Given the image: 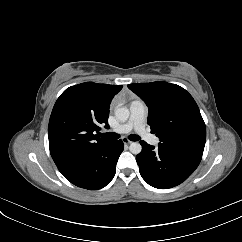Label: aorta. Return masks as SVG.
<instances>
[{
    "instance_id": "762f6f07",
    "label": "aorta",
    "mask_w": 242,
    "mask_h": 242,
    "mask_svg": "<svg viewBox=\"0 0 242 242\" xmlns=\"http://www.w3.org/2000/svg\"><path fill=\"white\" fill-rule=\"evenodd\" d=\"M130 112L129 109L124 106H118L115 109V116L120 121H126L129 118ZM129 150L132 154H139L142 150V146L138 142H132L130 144Z\"/></svg>"
}]
</instances>
